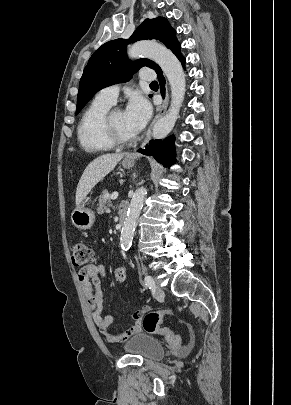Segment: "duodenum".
Listing matches in <instances>:
<instances>
[{
    "instance_id": "obj_1",
    "label": "duodenum",
    "mask_w": 291,
    "mask_h": 405,
    "mask_svg": "<svg viewBox=\"0 0 291 405\" xmlns=\"http://www.w3.org/2000/svg\"><path fill=\"white\" fill-rule=\"evenodd\" d=\"M127 217V206L123 205L120 209V213H119V221L121 224H123L126 220Z\"/></svg>"
}]
</instances>
